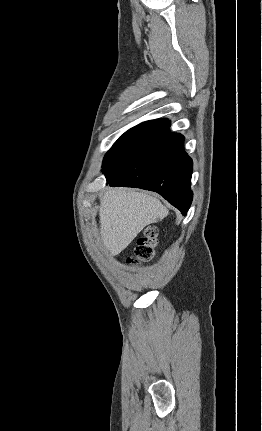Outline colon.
<instances>
[{"label": "colon", "mask_w": 262, "mask_h": 431, "mask_svg": "<svg viewBox=\"0 0 262 431\" xmlns=\"http://www.w3.org/2000/svg\"><path fill=\"white\" fill-rule=\"evenodd\" d=\"M157 241V230L155 227H148L144 234L137 239L134 254L127 259L129 264L135 265L138 262L149 261L153 257V248Z\"/></svg>", "instance_id": "colon-1"}]
</instances>
